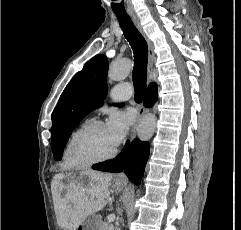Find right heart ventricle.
<instances>
[{
	"label": "right heart ventricle",
	"instance_id": "obj_1",
	"mask_svg": "<svg viewBox=\"0 0 241 230\" xmlns=\"http://www.w3.org/2000/svg\"><path fill=\"white\" fill-rule=\"evenodd\" d=\"M81 127H78L76 128L71 134L70 136L68 137V140L64 146V149H63V154H62V167L66 170H71L73 168H75V166L72 164V162L70 161V158H69V154H68V151H69V145H70V142L72 140V138L74 137V135L77 133V131L80 129Z\"/></svg>",
	"mask_w": 241,
	"mask_h": 230
}]
</instances>
